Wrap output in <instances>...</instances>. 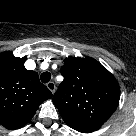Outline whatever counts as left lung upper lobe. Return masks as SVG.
Instances as JSON below:
<instances>
[{"instance_id":"left-lung-upper-lobe-1","label":"left lung upper lobe","mask_w":136,"mask_h":136,"mask_svg":"<svg viewBox=\"0 0 136 136\" xmlns=\"http://www.w3.org/2000/svg\"><path fill=\"white\" fill-rule=\"evenodd\" d=\"M61 74L64 80L53 102L65 123L79 132L99 129L119 104L115 77L90 57L66 58Z\"/></svg>"}]
</instances>
